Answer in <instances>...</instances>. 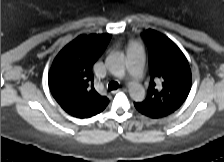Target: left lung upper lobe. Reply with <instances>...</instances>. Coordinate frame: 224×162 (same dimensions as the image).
Segmentation results:
<instances>
[{
	"label": "left lung upper lobe",
	"mask_w": 224,
	"mask_h": 162,
	"mask_svg": "<svg viewBox=\"0 0 224 162\" xmlns=\"http://www.w3.org/2000/svg\"><path fill=\"white\" fill-rule=\"evenodd\" d=\"M145 41L151 81L146 99L134 105L142 114L163 117L186 100L191 89V70L182 51L163 34L149 29L145 32Z\"/></svg>",
	"instance_id": "1"
}]
</instances>
